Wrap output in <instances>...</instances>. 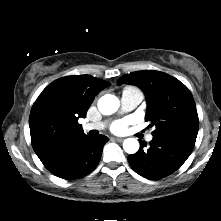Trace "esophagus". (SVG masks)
Listing matches in <instances>:
<instances>
[{"mask_svg": "<svg viewBox=\"0 0 221 221\" xmlns=\"http://www.w3.org/2000/svg\"><path fill=\"white\" fill-rule=\"evenodd\" d=\"M113 139L116 140V141H119V142L123 141V138H121V137H114Z\"/></svg>", "mask_w": 221, "mask_h": 221, "instance_id": "esophagus-1", "label": "esophagus"}]
</instances>
